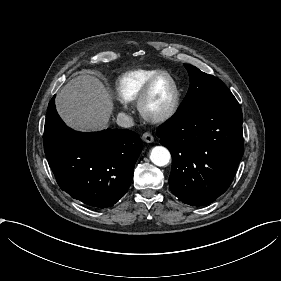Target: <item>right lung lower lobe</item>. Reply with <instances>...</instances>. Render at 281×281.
<instances>
[{"mask_svg": "<svg viewBox=\"0 0 281 281\" xmlns=\"http://www.w3.org/2000/svg\"><path fill=\"white\" fill-rule=\"evenodd\" d=\"M54 97L47 109L44 151L58 185L91 207L113 206L132 182L141 139L130 130L74 131L59 117Z\"/></svg>", "mask_w": 281, "mask_h": 281, "instance_id": "98d812e1", "label": "right lung lower lobe"}]
</instances>
